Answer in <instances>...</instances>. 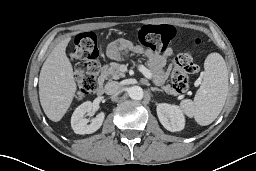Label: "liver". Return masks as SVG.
I'll return each mask as SVG.
<instances>
[{
    "label": "liver",
    "mask_w": 256,
    "mask_h": 171,
    "mask_svg": "<svg viewBox=\"0 0 256 171\" xmlns=\"http://www.w3.org/2000/svg\"><path fill=\"white\" fill-rule=\"evenodd\" d=\"M68 42L66 39L56 45L39 76L40 103L46 116L54 122L65 115L77 90L73 68L65 52Z\"/></svg>",
    "instance_id": "1"
}]
</instances>
